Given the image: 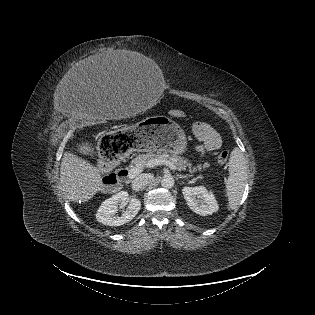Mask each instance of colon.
I'll list each match as a JSON object with an SVG mask.
<instances>
[{
	"label": "colon",
	"instance_id": "obj_1",
	"mask_svg": "<svg viewBox=\"0 0 315 315\" xmlns=\"http://www.w3.org/2000/svg\"><path fill=\"white\" fill-rule=\"evenodd\" d=\"M171 114L175 117H183L184 116V113L180 110H173L171 112ZM228 157H229L228 151H222L217 156V162L220 165H224L228 161ZM112 166H113V161H107V160L103 159L102 171L105 174V180L108 182H111L113 180L112 172H111Z\"/></svg>",
	"mask_w": 315,
	"mask_h": 315
}]
</instances>
